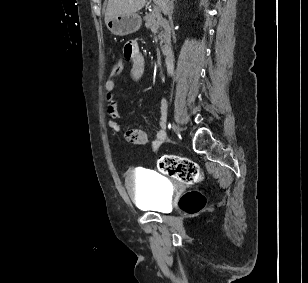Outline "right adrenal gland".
Segmentation results:
<instances>
[{
    "instance_id": "1",
    "label": "right adrenal gland",
    "mask_w": 308,
    "mask_h": 283,
    "mask_svg": "<svg viewBox=\"0 0 308 283\" xmlns=\"http://www.w3.org/2000/svg\"><path fill=\"white\" fill-rule=\"evenodd\" d=\"M174 1H175V0H171V2H170V5H171V8H172V9L174 8Z\"/></svg>"
}]
</instances>
